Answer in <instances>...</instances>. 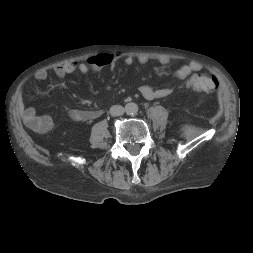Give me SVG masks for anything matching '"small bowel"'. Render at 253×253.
<instances>
[{
	"label": "small bowel",
	"mask_w": 253,
	"mask_h": 253,
	"mask_svg": "<svg viewBox=\"0 0 253 253\" xmlns=\"http://www.w3.org/2000/svg\"><path fill=\"white\" fill-rule=\"evenodd\" d=\"M120 58L121 56L112 53H100L90 57L86 62H66L59 64L54 68V72L59 78H64L74 72L86 74L90 71H99L106 66H111ZM123 61L126 65H132L134 63V58L127 55L123 57ZM148 61L149 58L145 55L138 57V62L141 64H146ZM159 62L162 65H167L170 60L164 57L160 58ZM200 69L201 65L198 62L193 61L174 70L170 76L172 78L182 80ZM35 77L38 80H44L47 77V72L45 70H40L36 73ZM140 92L144 98L153 100L171 95L173 93V89L154 88L149 84H144L140 87ZM102 113L103 112L100 109H71L69 111V117L76 122H90L99 118ZM21 116L26 126L39 133H46L50 131L54 125L53 119L50 115H39L33 107H26Z\"/></svg>",
	"instance_id": "small-bowel-1"
}]
</instances>
